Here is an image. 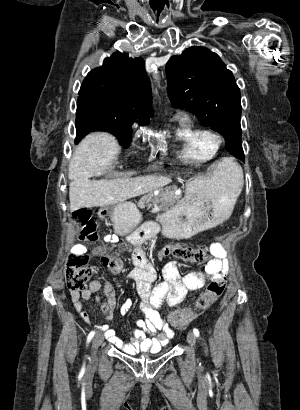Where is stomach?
I'll list each match as a JSON object with an SVG mask.
<instances>
[{
	"label": "stomach",
	"mask_w": 300,
	"mask_h": 410,
	"mask_svg": "<svg viewBox=\"0 0 300 410\" xmlns=\"http://www.w3.org/2000/svg\"><path fill=\"white\" fill-rule=\"evenodd\" d=\"M236 199L232 171L223 173L216 168L210 178L190 179L180 203L157 219L162 224L164 236L187 239L227 220ZM99 215H109L115 233L121 236L130 233L141 221V213L132 202L104 208Z\"/></svg>",
	"instance_id": "stomach-1"
}]
</instances>
